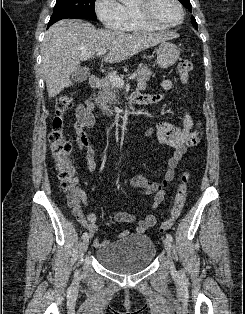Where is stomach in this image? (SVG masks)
Masks as SVG:
<instances>
[{
    "instance_id": "stomach-1",
    "label": "stomach",
    "mask_w": 245,
    "mask_h": 314,
    "mask_svg": "<svg viewBox=\"0 0 245 314\" xmlns=\"http://www.w3.org/2000/svg\"><path fill=\"white\" fill-rule=\"evenodd\" d=\"M157 53V64L162 69H167L174 65L179 58V49L177 46L170 42H162L158 49Z\"/></svg>"
}]
</instances>
